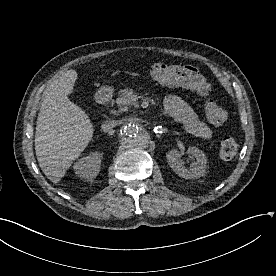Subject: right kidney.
Listing matches in <instances>:
<instances>
[{
  "label": "right kidney",
  "mask_w": 276,
  "mask_h": 276,
  "mask_svg": "<svg viewBox=\"0 0 276 276\" xmlns=\"http://www.w3.org/2000/svg\"><path fill=\"white\" fill-rule=\"evenodd\" d=\"M101 155L97 152L82 157L73 166L75 174L83 179H94L100 171Z\"/></svg>",
  "instance_id": "1"
}]
</instances>
